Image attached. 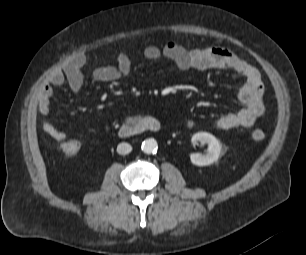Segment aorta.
Listing matches in <instances>:
<instances>
[{"label": "aorta", "mask_w": 306, "mask_h": 255, "mask_svg": "<svg viewBox=\"0 0 306 255\" xmlns=\"http://www.w3.org/2000/svg\"><path fill=\"white\" fill-rule=\"evenodd\" d=\"M157 148H158V144L154 139H147L143 141L141 145V150L145 154L155 153L157 151Z\"/></svg>", "instance_id": "aorta-1"}]
</instances>
